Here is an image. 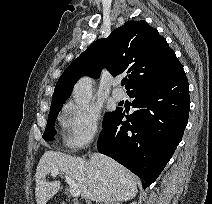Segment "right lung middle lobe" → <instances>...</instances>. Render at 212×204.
<instances>
[{"instance_id":"right-lung-middle-lobe-1","label":"right lung middle lobe","mask_w":212,"mask_h":204,"mask_svg":"<svg viewBox=\"0 0 212 204\" xmlns=\"http://www.w3.org/2000/svg\"><path fill=\"white\" fill-rule=\"evenodd\" d=\"M61 108H62V105L51 106V108H50L47 126H46L45 132L42 136L46 141H50V140L54 139V134L56 132L54 129V125H55L54 120L56 119L58 112L61 110ZM114 113H115V111L106 114L105 119L103 121V127L110 120V118L114 115Z\"/></svg>"}]
</instances>
